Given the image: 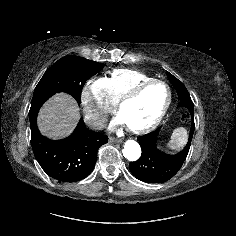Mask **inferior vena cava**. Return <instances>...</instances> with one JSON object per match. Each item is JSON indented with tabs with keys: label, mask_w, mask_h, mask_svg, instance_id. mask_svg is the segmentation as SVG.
Instances as JSON below:
<instances>
[{
	"label": "inferior vena cava",
	"mask_w": 236,
	"mask_h": 236,
	"mask_svg": "<svg viewBox=\"0 0 236 236\" xmlns=\"http://www.w3.org/2000/svg\"><path fill=\"white\" fill-rule=\"evenodd\" d=\"M106 118H94L90 122V126L94 129H102L105 126Z\"/></svg>",
	"instance_id": "inferior-vena-cava-1"
}]
</instances>
